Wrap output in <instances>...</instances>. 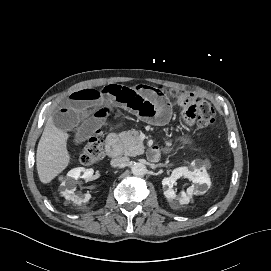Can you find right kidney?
I'll use <instances>...</instances> for the list:
<instances>
[{
  "mask_svg": "<svg viewBox=\"0 0 271 271\" xmlns=\"http://www.w3.org/2000/svg\"><path fill=\"white\" fill-rule=\"evenodd\" d=\"M93 169H86L84 167H77L67 173V177L61 183V195L67 200H71L76 204L87 203L90 199V194L79 195L75 193V181L78 178H83L86 181L90 180L93 176Z\"/></svg>",
  "mask_w": 271,
  "mask_h": 271,
  "instance_id": "1",
  "label": "right kidney"
}]
</instances>
